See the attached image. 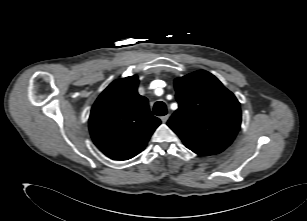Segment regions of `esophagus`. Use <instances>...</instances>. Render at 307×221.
<instances>
[{
	"mask_svg": "<svg viewBox=\"0 0 307 221\" xmlns=\"http://www.w3.org/2000/svg\"><path fill=\"white\" fill-rule=\"evenodd\" d=\"M168 119H169V114L164 115V116L161 117V121H162L163 123H166Z\"/></svg>",
	"mask_w": 307,
	"mask_h": 221,
	"instance_id": "1",
	"label": "esophagus"
}]
</instances>
